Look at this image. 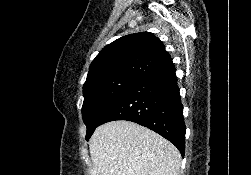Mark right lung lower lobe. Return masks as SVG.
Wrapping results in <instances>:
<instances>
[{
	"label": "right lung lower lobe",
	"instance_id": "98d812e1",
	"mask_svg": "<svg viewBox=\"0 0 251 175\" xmlns=\"http://www.w3.org/2000/svg\"><path fill=\"white\" fill-rule=\"evenodd\" d=\"M173 69L131 85L101 116L99 125L128 120L143 125L171 141L185 153L183 106Z\"/></svg>",
	"mask_w": 251,
	"mask_h": 175
}]
</instances>
